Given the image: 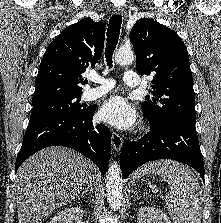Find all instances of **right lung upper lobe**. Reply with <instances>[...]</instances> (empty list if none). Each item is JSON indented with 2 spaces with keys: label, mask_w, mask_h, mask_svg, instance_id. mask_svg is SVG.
<instances>
[{
  "label": "right lung upper lobe",
  "mask_w": 221,
  "mask_h": 223,
  "mask_svg": "<svg viewBox=\"0 0 221 223\" xmlns=\"http://www.w3.org/2000/svg\"><path fill=\"white\" fill-rule=\"evenodd\" d=\"M105 25L85 18L65 28L48 46L35 81L33 103L82 94L81 74L104 48Z\"/></svg>",
  "instance_id": "1"
}]
</instances>
